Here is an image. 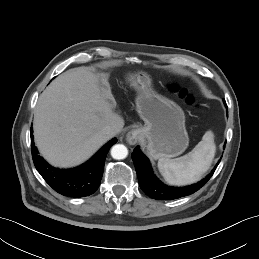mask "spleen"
Segmentation results:
<instances>
[{
	"label": "spleen",
	"instance_id": "obj_1",
	"mask_svg": "<svg viewBox=\"0 0 259 259\" xmlns=\"http://www.w3.org/2000/svg\"><path fill=\"white\" fill-rule=\"evenodd\" d=\"M215 152L214 133L209 130L188 154L175 159L160 158L158 169L169 184H192L210 168Z\"/></svg>",
	"mask_w": 259,
	"mask_h": 259
}]
</instances>
